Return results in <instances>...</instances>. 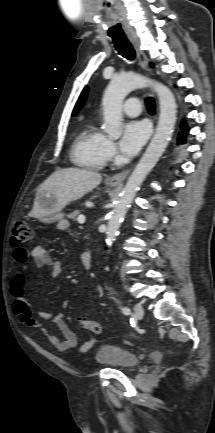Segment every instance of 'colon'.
Segmentation results:
<instances>
[{
  "label": "colon",
  "mask_w": 215,
  "mask_h": 433,
  "mask_svg": "<svg viewBox=\"0 0 215 433\" xmlns=\"http://www.w3.org/2000/svg\"><path fill=\"white\" fill-rule=\"evenodd\" d=\"M33 235L31 227L24 221H16L12 226L11 231V242L14 246H20L31 240ZM81 326L83 329L90 331L95 334H99L102 331L99 322L91 320H81Z\"/></svg>",
  "instance_id": "1"
}]
</instances>
